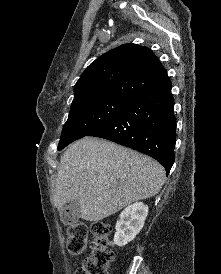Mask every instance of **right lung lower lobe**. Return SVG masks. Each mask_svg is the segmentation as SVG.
<instances>
[{"label": "right lung lower lobe", "mask_w": 221, "mask_h": 274, "mask_svg": "<svg viewBox=\"0 0 221 274\" xmlns=\"http://www.w3.org/2000/svg\"><path fill=\"white\" fill-rule=\"evenodd\" d=\"M171 81L149 88L88 136L104 138L149 155L168 174L174 163L176 118Z\"/></svg>", "instance_id": "1"}]
</instances>
